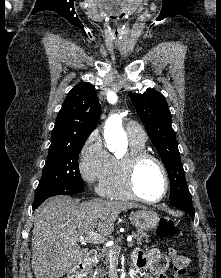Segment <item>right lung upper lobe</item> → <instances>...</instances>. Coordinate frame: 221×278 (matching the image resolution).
Masks as SVG:
<instances>
[{
	"label": "right lung upper lobe",
	"mask_w": 221,
	"mask_h": 278,
	"mask_svg": "<svg viewBox=\"0 0 221 278\" xmlns=\"http://www.w3.org/2000/svg\"><path fill=\"white\" fill-rule=\"evenodd\" d=\"M101 109L95 88L83 82L67 95L52 131L51 145L72 144L88 138L96 128Z\"/></svg>",
	"instance_id": "cb5924a9"
}]
</instances>
